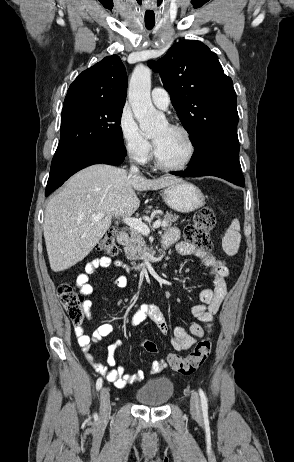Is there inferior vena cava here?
I'll list each match as a JSON object with an SVG mask.
<instances>
[{"mask_svg":"<svg viewBox=\"0 0 294 462\" xmlns=\"http://www.w3.org/2000/svg\"><path fill=\"white\" fill-rule=\"evenodd\" d=\"M138 168L135 165H131L130 175L138 173Z\"/></svg>","mask_w":294,"mask_h":462,"instance_id":"602c4592","label":"inferior vena cava"}]
</instances>
